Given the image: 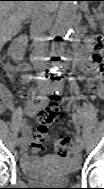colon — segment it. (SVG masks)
I'll return each mask as SVG.
<instances>
[{"instance_id": "colon-1", "label": "colon", "mask_w": 104, "mask_h": 189, "mask_svg": "<svg viewBox=\"0 0 104 189\" xmlns=\"http://www.w3.org/2000/svg\"><path fill=\"white\" fill-rule=\"evenodd\" d=\"M92 59L96 65L95 74L100 77L102 73L101 61L104 50V41L100 35L94 36L91 41ZM1 108L2 99L0 98ZM60 106L53 102L39 115V130L32 143L33 151H38L49 138V125L60 115ZM55 148L60 156H75V144L67 137H62L55 142Z\"/></svg>"}]
</instances>
